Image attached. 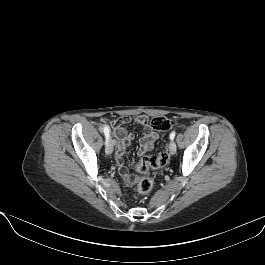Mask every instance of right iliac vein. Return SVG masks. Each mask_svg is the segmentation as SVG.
Returning a JSON list of instances; mask_svg holds the SVG:
<instances>
[{
    "instance_id": "right-iliac-vein-1",
    "label": "right iliac vein",
    "mask_w": 265,
    "mask_h": 265,
    "mask_svg": "<svg viewBox=\"0 0 265 265\" xmlns=\"http://www.w3.org/2000/svg\"><path fill=\"white\" fill-rule=\"evenodd\" d=\"M114 140L109 139L105 148V152L110 155L113 152V147H114Z\"/></svg>"
}]
</instances>
